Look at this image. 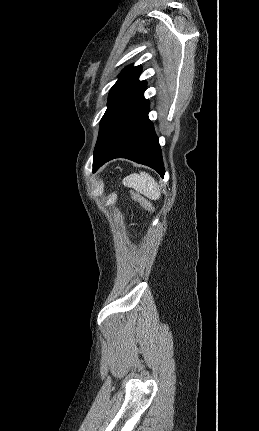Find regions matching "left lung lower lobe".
Segmentation results:
<instances>
[{
  "label": "left lung lower lobe",
  "mask_w": 259,
  "mask_h": 431,
  "mask_svg": "<svg viewBox=\"0 0 259 431\" xmlns=\"http://www.w3.org/2000/svg\"><path fill=\"white\" fill-rule=\"evenodd\" d=\"M149 101H143L126 115L94 153L93 172L114 158H127L155 169L165 170L154 126L148 118Z\"/></svg>",
  "instance_id": "1"
}]
</instances>
